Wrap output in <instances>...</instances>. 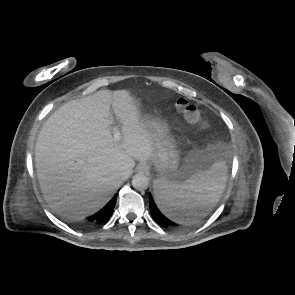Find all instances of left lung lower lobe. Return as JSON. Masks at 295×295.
Returning <instances> with one entry per match:
<instances>
[{
	"label": "left lung lower lobe",
	"mask_w": 295,
	"mask_h": 295,
	"mask_svg": "<svg viewBox=\"0 0 295 295\" xmlns=\"http://www.w3.org/2000/svg\"><path fill=\"white\" fill-rule=\"evenodd\" d=\"M149 204H150V211L152 214L153 219L161 226L163 227H169V226H177L176 223L172 222L171 220H169L167 217H165L157 208L156 204L154 203L152 197L150 196V200H149Z\"/></svg>",
	"instance_id": "1"
}]
</instances>
